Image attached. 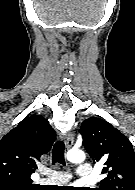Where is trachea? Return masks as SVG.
<instances>
[{
	"instance_id": "1",
	"label": "trachea",
	"mask_w": 135,
	"mask_h": 190,
	"mask_svg": "<svg viewBox=\"0 0 135 190\" xmlns=\"http://www.w3.org/2000/svg\"><path fill=\"white\" fill-rule=\"evenodd\" d=\"M64 149L65 145L63 141H58L55 143L52 150V164L60 163L65 165Z\"/></svg>"
}]
</instances>
